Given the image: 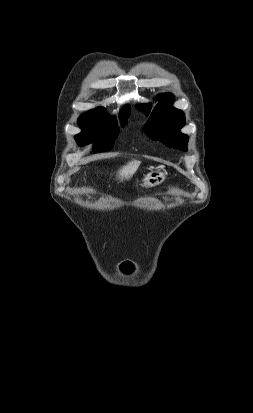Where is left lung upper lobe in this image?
<instances>
[{"mask_svg":"<svg viewBox=\"0 0 253 413\" xmlns=\"http://www.w3.org/2000/svg\"><path fill=\"white\" fill-rule=\"evenodd\" d=\"M159 103L154 107L144 131L153 140L163 141L169 147L187 151L188 136L180 132L185 125L184 113L173 107L174 96L164 93L157 97ZM142 110L148 115L151 111L149 104H143Z\"/></svg>","mask_w":253,"mask_h":413,"instance_id":"5c2ea615","label":"left lung upper lobe"}]
</instances>
